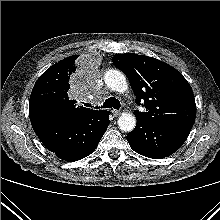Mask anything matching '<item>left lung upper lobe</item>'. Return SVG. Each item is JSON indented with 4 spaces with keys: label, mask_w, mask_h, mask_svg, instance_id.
Wrapping results in <instances>:
<instances>
[{
    "label": "left lung upper lobe",
    "mask_w": 220,
    "mask_h": 220,
    "mask_svg": "<svg viewBox=\"0 0 220 220\" xmlns=\"http://www.w3.org/2000/svg\"><path fill=\"white\" fill-rule=\"evenodd\" d=\"M112 61L128 77L136 103L144 102L146 112L134 111L137 119L155 124L194 123L193 91L179 71L156 58L133 53L116 54Z\"/></svg>",
    "instance_id": "obj_1"
}]
</instances>
